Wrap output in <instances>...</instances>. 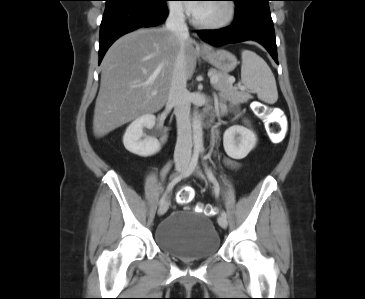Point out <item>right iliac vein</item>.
Listing matches in <instances>:
<instances>
[{
	"mask_svg": "<svg viewBox=\"0 0 365 299\" xmlns=\"http://www.w3.org/2000/svg\"><path fill=\"white\" fill-rule=\"evenodd\" d=\"M175 168H176V171H177L178 173H183V172L186 170V168H187V160H186V159H184V158H180V159H178V160L176 161V166H175ZM168 208H169V201L167 200V201H164V202L160 205L159 210H158V214H159V215H163V214H165V213L167 212Z\"/></svg>",
	"mask_w": 365,
	"mask_h": 299,
	"instance_id": "63e3f726",
	"label": "right iliac vein"
}]
</instances>
